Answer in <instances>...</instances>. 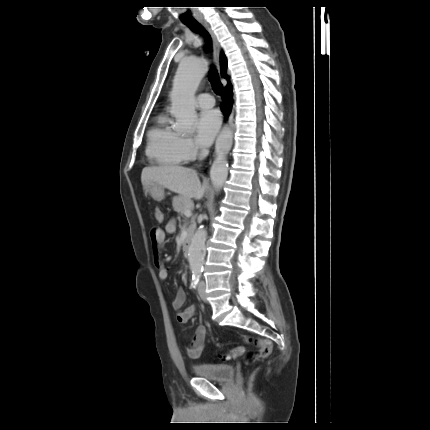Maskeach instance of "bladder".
<instances>
[{
	"mask_svg": "<svg viewBox=\"0 0 430 430\" xmlns=\"http://www.w3.org/2000/svg\"><path fill=\"white\" fill-rule=\"evenodd\" d=\"M194 374L217 382H229L235 375V367L227 364L201 363L193 367Z\"/></svg>",
	"mask_w": 430,
	"mask_h": 430,
	"instance_id": "31cf9c89",
	"label": "bladder"
}]
</instances>
